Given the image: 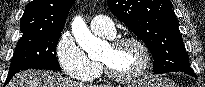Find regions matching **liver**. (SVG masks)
<instances>
[{
    "label": "liver",
    "mask_w": 205,
    "mask_h": 87,
    "mask_svg": "<svg viewBox=\"0 0 205 87\" xmlns=\"http://www.w3.org/2000/svg\"><path fill=\"white\" fill-rule=\"evenodd\" d=\"M7 87H108L96 84H83L41 70H24L17 73Z\"/></svg>",
    "instance_id": "1"
}]
</instances>
